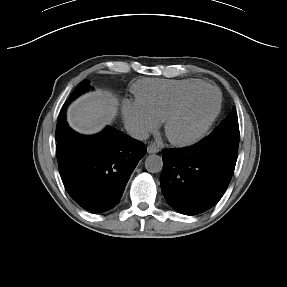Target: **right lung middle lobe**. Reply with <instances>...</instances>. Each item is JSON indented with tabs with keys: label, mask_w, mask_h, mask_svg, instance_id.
I'll return each mask as SVG.
<instances>
[{
	"label": "right lung middle lobe",
	"mask_w": 287,
	"mask_h": 287,
	"mask_svg": "<svg viewBox=\"0 0 287 287\" xmlns=\"http://www.w3.org/2000/svg\"><path fill=\"white\" fill-rule=\"evenodd\" d=\"M91 88L90 81L88 80H83L78 84L76 89L72 92L70 95L69 99L65 102L63 105V108L59 114L58 122H57V127H56V140L57 142L61 141V135L64 132L65 128L67 127V123L65 121V111L67 106L79 95L82 93H85L89 91Z\"/></svg>",
	"instance_id": "dd1d6c3e"
}]
</instances>
